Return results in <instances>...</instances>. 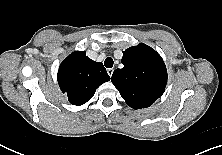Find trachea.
<instances>
[{"label":"trachea","mask_w":222,"mask_h":155,"mask_svg":"<svg viewBox=\"0 0 222 155\" xmlns=\"http://www.w3.org/2000/svg\"><path fill=\"white\" fill-rule=\"evenodd\" d=\"M113 64H114V61L111 57L106 58L104 61V65L106 68H112Z\"/></svg>","instance_id":"3493384b"}]
</instances>
